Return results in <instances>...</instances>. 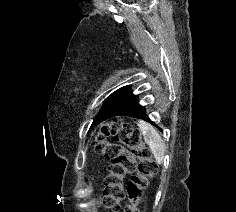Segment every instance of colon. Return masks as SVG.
<instances>
[{
  "label": "colon",
  "mask_w": 236,
  "mask_h": 212,
  "mask_svg": "<svg viewBox=\"0 0 236 212\" xmlns=\"http://www.w3.org/2000/svg\"><path fill=\"white\" fill-rule=\"evenodd\" d=\"M91 146L97 154L111 161L100 205L112 212H119L120 202L127 197L130 204L123 212H139L138 205L149 179L157 173V165L139 133L122 119L116 118L101 128ZM128 174L130 178L124 185V178Z\"/></svg>",
  "instance_id": "colon-1"
}]
</instances>
